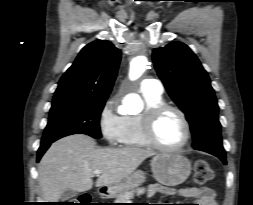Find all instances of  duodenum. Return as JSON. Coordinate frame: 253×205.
<instances>
[{"label": "duodenum", "mask_w": 253, "mask_h": 205, "mask_svg": "<svg viewBox=\"0 0 253 205\" xmlns=\"http://www.w3.org/2000/svg\"><path fill=\"white\" fill-rule=\"evenodd\" d=\"M101 194H102V195H107V190H106V189H102V190H101Z\"/></svg>", "instance_id": "obj_1"}]
</instances>
